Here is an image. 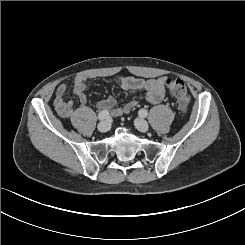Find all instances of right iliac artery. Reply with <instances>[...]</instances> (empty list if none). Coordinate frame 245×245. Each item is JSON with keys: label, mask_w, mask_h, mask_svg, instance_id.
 Returning <instances> with one entry per match:
<instances>
[{"label": "right iliac artery", "mask_w": 245, "mask_h": 245, "mask_svg": "<svg viewBox=\"0 0 245 245\" xmlns=\"http://www.w3.org/2000/svg\"><path fill=\"white\" fill-rule=\"evenodd\" d=\"M109 116V112L107 110H102L99 114H98V119L100 121H103L105 119H107V117Z\"/></svg>", "instance_id": "82829eb1"}]
</instances>
